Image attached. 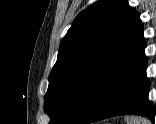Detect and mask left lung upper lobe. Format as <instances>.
<instances>
[{"label":"left lung upper lobe","instance_id":"obj_1","mask_svg":"<svg viewBox=\"0 0 156 124\" xmlns=\"http://www.w3.org/2000/svg\"><path fill=\"white\" fill-rule=\"evenodd\" d=\"M142 38L139 14L125 0H100L82 11L49 75V124H78L104 80Z\"/></svg>","mask_w":156,"mask_h":124}]
</instances>
